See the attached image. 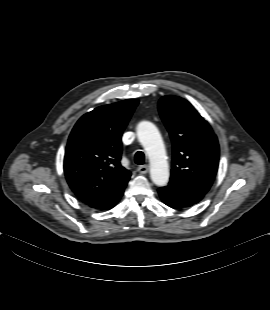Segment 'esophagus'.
Listing matches in <instances>:
<instances>
[{
    "instance_id": "obj_1",
    "label": "esophagus",
    "mask_w": 270,
    "mask_h": 310,
    "mask_svg": "<svg viewBox=\"0 0 270 310\" xmlns=\"http://www.w3.org/2000/svg\"><path fill=\"white\" fill-rule=\"evenodd\" d=\"M137 170L141 174H146L149 172V166L148 165H142V166H139Z\"/></svg>"
}]
</instances>
